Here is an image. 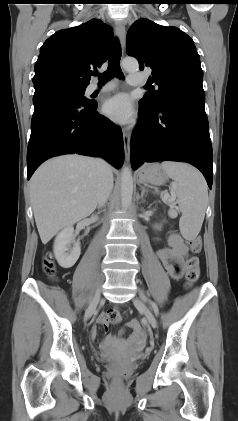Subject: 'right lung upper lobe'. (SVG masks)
<instances>
[{
    "mask_svg": "<svg viewBox=\"0 0 238 421\" xmlns=\"http://www.w3.org/2000/svg\"><path fill=\"white\" fill-rule=\"evenodd\" d=\"M112 39V28L98 19L54 33L40 49L34 87L48 84L87 87L91 69L107 60Z\"/></svg>",
    "mask_w": 238,
    "mask_h": 421,
    "instance_id": "obj_1",
    "label": "right lung upper lobe"
}]
</instances>
